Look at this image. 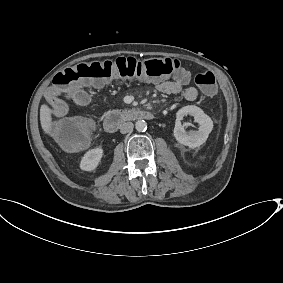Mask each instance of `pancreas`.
Wrapping results in <instances>:
<instances>
[{"label":"pancreas","mask_w":283,"mask_h":283,"mask_svg":"<svg viewBox=\"0 0 283 283\" xmlns=\"http://www.w3.org/2000/svg\"><path fill=\"white\" fill-rule=\"evenodd\" d=\"M116 112L120 115V117L124 121L132 120L133 115H134V111H132L129 108H126L125 110L119 109V110H116Z\"/></svg>","instance_id":"1"}]
</instances>
